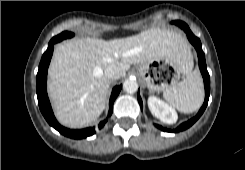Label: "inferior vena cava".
<instances>
[{
	"label": "inferior vena cava",
	"instance_id": "obj_1",
	"mask_svg": "<svg viewBox=\"0 0 245 170\" xmlns=\"http://www.w3.org/2000/svg\"><path fill=\"white\" fill-rule=\"evenodd\" d=\"M104 74L108 79L112 80H116L120 77L119 70L113 65L107 67L104 71Z\"/></svg>",
	"mask_w": 245,
	"mask_h": 170
}]
</instances>
